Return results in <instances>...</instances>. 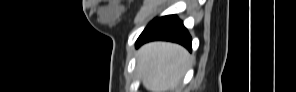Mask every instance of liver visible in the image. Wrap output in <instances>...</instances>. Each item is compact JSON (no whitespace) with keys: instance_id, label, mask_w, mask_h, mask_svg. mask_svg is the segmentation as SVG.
<instances>
[{"instance_id":"liver-1","label":"liver","mask_w":296,"mask_h":92,"mask_svg":"<svg viewBox=\"0 0 296 92\" xmlns=\"http://www.w3.org/2000/svg\"><path fill=\"white\" fill-rule=\"evenodd\" d=\"M191 64L189 52L175 43L150 42L143 45L137 53L139 77L150 92L173 90Z\"/></svg>"}]
</instances>
